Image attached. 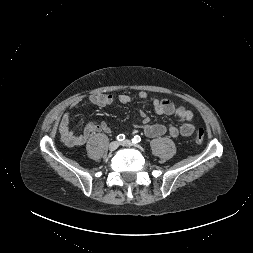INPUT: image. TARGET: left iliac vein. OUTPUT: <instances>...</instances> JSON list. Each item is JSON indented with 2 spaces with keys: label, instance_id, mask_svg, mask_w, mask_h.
<instances>
[{
  "label": "left iliac vein",
  "instance_id": "1",
  "mask_svg": "<svg viewBox=\"0 0 253 253\" xmlns=\"http://www.w3.org/2000/svg\"><path fill=\"white\" fill-rule=\"evenodd\" d=\"M121 145L126 146V147H131V146H133V143L130 140L126 139L121 142Z\"/></svg>",
  "mask_w": 253,
  "mask_h": 253
}]
</instances>
